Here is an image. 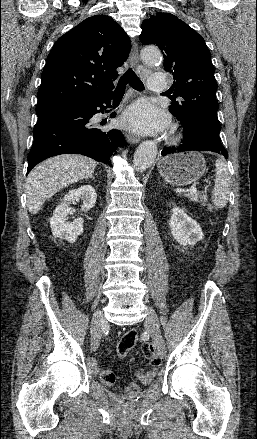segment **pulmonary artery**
I'll list each match as a JSON object with an SVG mask.
<instances>
[{
	"mask_svg": "<svg viewBox=\"0 0 257 439\" xmlns=\"http://www.w3.org/2000/svg\"><path fill=\"white\" fill-rule=\"evenodd\" d=\"M168 87L164 73H153L148 79V89L153 93H164Z\"/></svg>",
	"mask_w": 257,
	"mask_h": 439,
	"instance_id": "pulmonary-artery-1",
	"label": "pulmonary artery"
}]
</instances>
